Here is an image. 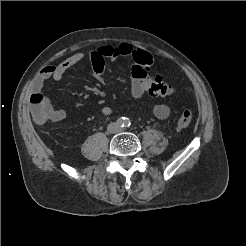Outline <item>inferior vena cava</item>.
Wrapping results in <instances>:
<instances>
[{"label": "inferior vena cava", "mask_w": 246, "mask_h": 246, "mask_svg": "<svg viewBox=\"0 0 246 246\" xmlns=\"http://www.w3.org/2000/svg\"><path fill=\"white\" fill-rule=\"evenodd\" d=\"M109 131H110V133H118L120 131V127L118 125H116L115 123L111 124L109 126Z\"/></svg>", "instance_id": "obj_1"}]
</instances>
